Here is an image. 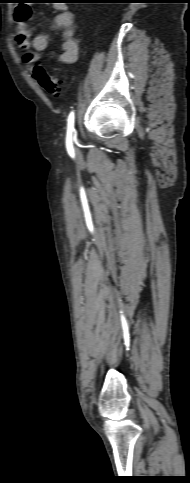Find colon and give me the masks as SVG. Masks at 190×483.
<instances>
[{"label":"colon","instance_id":"obj_1","mask_svg":"<svg viewBox=\"0 0 190 483\" xmlns=\"http://www.w3.org/2000/svg\"><path fill=\"white\" fill-rule=\"evenodd\" d=\"M28 3V2H26ZM30 5V4H27ZM19 19H23L24 15L19 14L18 15ZM32 75L35 78V80L39 83V85L44 88L49 94L53 96H60L62 94V83L56 79L55 77H52L49 75L45 69L37 65L32 69Z\"/></svg>","mask_w":190,"mask_h":483}]
</instances>
